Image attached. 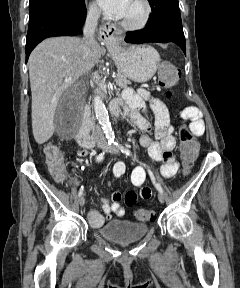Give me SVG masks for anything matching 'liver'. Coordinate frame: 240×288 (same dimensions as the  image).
<instances>
[{"instance_id":"1","label":"liver","mask_w":240,"mask_h":288,"mask_svg":"<svg viewBox=\"0 0 240 288\" xmlns=\"http://www.w3.org/2000/svg\"><path fill=\"white\" fill-rule=\"evenodd\" d=\"M83 39L53 37L42 41L28 61L32 93V130L38 144L47 142L54 133V114L64 91L99 61L103 49L98 43L91 48L89 61L83 59ZM71 78L70 81H65Z\"/></svg>"}]
</instances>
